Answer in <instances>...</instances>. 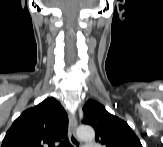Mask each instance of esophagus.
Here are the masks:
<instances>
[{
    "label": "esophagus",
    "mask_w": 163,
    "mask_h": 147,
    "mask_svg": "<svg viewBox=\"0 0 163 147\" xmlns=\"http://www.w3.org/2000/svg\"><path fill=\"white\" fill-rule=\"evenodd\" d=\"M77 119L74 114H69V139L74 147H82V142L77 138Z\"/></svg>",
    "instance_id": "esophagus-1"
}]
</instances>
